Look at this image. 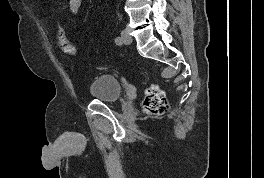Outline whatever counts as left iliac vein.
Here are the masks:
<instances>
[{
    "label": "left iliac vein",
    "instance_id": "left-iliac-vein-1",
    "mask_svg": "<svg viewBox=\"0 0 264 178\" xmlns=\"http://www.w3.org/2000/svg\"><path fill=\"white\" fill-rule=\"evenodd\" d=\"M122 42L126 45H129L132 43V37L128 34L126 30H123L121 32Z\"/></svg>",
    "mask_w": 264,
    "mask_h": 178
}]
</instances>
